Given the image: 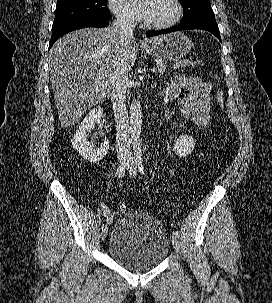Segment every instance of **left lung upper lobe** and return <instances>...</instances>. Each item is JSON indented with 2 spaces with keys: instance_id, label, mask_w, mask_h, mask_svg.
<instances>
[{
  "instance_id": "left-lung-upper-lobe-1",
  "label": "left lung upper lobe",
  "mask_w": 272,
  "mask_h": 303,
  "mask_svg": "<svg viewBox=\"0 0 272 303\" xmlns=\"http://www.w3.org/2000/svg\"><path fill=\"white\" fill-rule=\"evenodd\" d=\"M184 14L181 24L215 20L210 0H180Z\"/></svg>"
}]
</instances>
